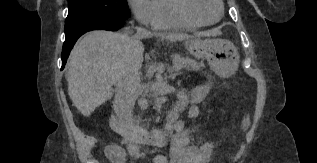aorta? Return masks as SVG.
<instances>
[{
  "label": "aorta",
  "instance_id": "obj_1",
  "mask_svg": "<svg viewBox=\"0 0 317 163\" xmlns=\"http://www.w3.org/2000/svg\"><path fill=\"white\" fill-rule=\"evenodd\" d=\"M154 106L156 111L158 113H161L162 103H161V99L157 95L154 96Z\"/></svg>",
  "mask_w": 317,
  "mask_h": 163
}]
</instances>
